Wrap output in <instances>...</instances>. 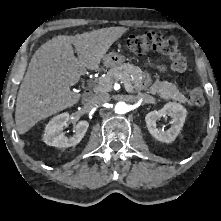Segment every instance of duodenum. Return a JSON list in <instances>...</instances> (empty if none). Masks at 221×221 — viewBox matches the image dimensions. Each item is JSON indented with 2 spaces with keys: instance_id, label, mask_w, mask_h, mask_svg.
<instances>
[{
  "instance_id": "obj_1",
  "label": "duodenum",
  "mask_w": 221,
  "mask_h": 221,
  "mask_svg": "<svg viewBox=\"0 0 221 221\" xmlns=\"http://www.w3.org/2000/svg\"><path fill=\"white\" fill-rule=\"evenodd\" d=\"M91 95V92L89 90H86L84 93V99H89Z\"/></svg>"
}]
</instances>
